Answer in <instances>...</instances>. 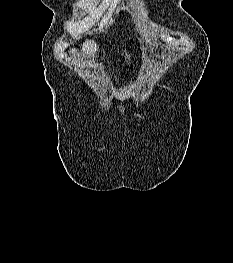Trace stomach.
Masks as SVG:
<instances>
[{
	"mask_svg": "<svg viewBox=\"0 0 233 263\" xmlns=\"http://www.w3.org/2000/svg\"><path fill=\"white\" fill-rule=\"evenodd\" d=\"M115 81H118V78H115ZM119 81H125V82H134V77H125V78H119Z\"/></svg>",
	"mask_w": 233,
	"mask_h": 263,
	"instance_id": "obj_1",
	"label": "stomach"
}]
</instances>
